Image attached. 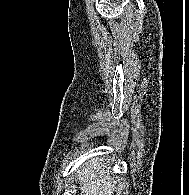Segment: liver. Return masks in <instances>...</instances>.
I'll return each instance as SVG.
<instances>
[{
	"label": "liver",
	"mask_w": 189,
	"mask_h": 195,
	"mask_svg": "<svg viewBox=\"0 0 189 195\" xmlns=\"http://www.w3.org/2000/svg\"><path fill=\"white\" fill-rule=\"evenodd\" d=\"M98 160H92L87 167L78 170L81 195H109L116 181L108 174L103 175Z\"/></svg>",
	"instance_id": "obj_1"
}]
</instances>
